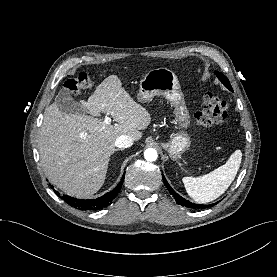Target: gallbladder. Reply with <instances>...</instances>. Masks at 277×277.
Here are the masks:
<instances>
[{
  "label": "gallbladder",
  "mask_w": 277,
  "mask_h": 277,
  "mask_svg": "<svg viewBox=\"0 0 277 277\" xmlns=\"http://www.w3.org/2000/svg\"><path fill=\"white\" fill-rule=\"evenodd\" d=\"M55 103L58 108L68 114H88L78 102L73 100L70 96V92L66 88H62L58 95L56 96Z\"/></svg>",
  "instance_id": "gallbladder-1"
}]
</instances>
